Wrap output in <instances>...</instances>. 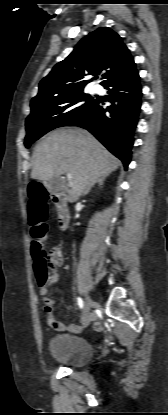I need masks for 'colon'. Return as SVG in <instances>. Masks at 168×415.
<instances>
[{"label":"colon","instance_id":"obj_1","mask_svg":"<svg viewBox=\"0 0 168 415\" xmlns=\"http://www.w3.org/2000/svg\"><path fill=\"white\" fill-rule=\"evenodd\" d=\"M28 216L30 224V234L32 237L31 251L34 258V269L39 283L43 286L49 279V266L52 261L50 253L46 251L44 240L47 236V202L48 195L40 184L29 186ZM96 330L103 329L99 320L94 322Z\"/></svg>","mask_w":168,"mask_h":415}]
</instances>
